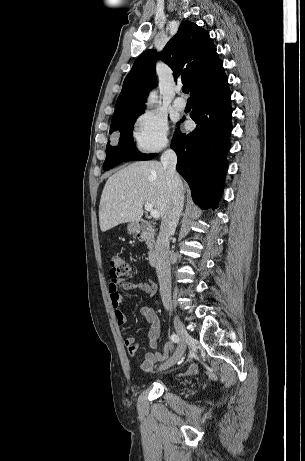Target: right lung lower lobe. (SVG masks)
Wrapping results in <instances>:
<instances>
[{
    "mask_svg": "<svg viewBox=\"0 0 305 461\" xmlns=\"http://www.w3.org/2000/svg\"><path fill=\"white\" fill-rule=\"evenodd\" d=\"M191 97L190 117L197 126L188 135L177 128L171 148L178 157L177 171L188 182L194 202L202 209L216 208L228 168L226 154L232 130L231 93L226 74L208 82Z\"/></svg>",
    "mask_w": 305,
    "mask_h": 461,
    "instance_id": "1",
    "label": "right lung lower lobe"
}]
</instances>
